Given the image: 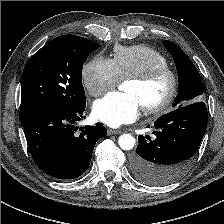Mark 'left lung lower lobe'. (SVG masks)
<instances>
[{
  "label": "left lung lower lobe",
  "instance_id": "0a47b994",
  "mask_svg": "<svg viewBox=\"0 0 224 224\" xmlns=\"http://www.w3.org/2000/svg\"><path fill=\"white\" fill-rule=\"evenodd\" d=\"M208 122L204 102L197 101L163 115L154 123L155 138L139 136L132 158L134 176L147 185H167L181 177L199 148Z\"/></svg>",
  "mask_w": 224,
  "mask_h": 224
}]
</instances>
